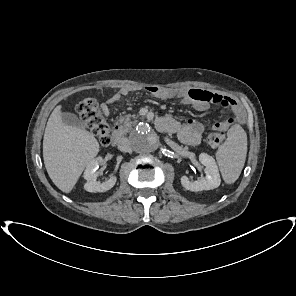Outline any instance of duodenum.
<instances>
[{
    "instance_id": "410a0bca",
    "label": "duodenum",
    "mask_w": 296,
    "mask_h": 296,
    "mask_svg": "<svg viewBox=\"0 0 296 296\" xmlns=\"http://www.w3.org/2000/svg\"><path fill=\"white\" fill-rule=\"evenodd\" d=\"M157 126L160 130L167 131V132H170L172 128L171 123L164 120L157 121ZM111 142L113 145H120L122 142V132L117 127L112 132Z\"/></svg>"
}]
</instances>
